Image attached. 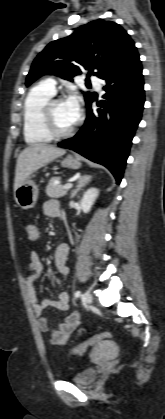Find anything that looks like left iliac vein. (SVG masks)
Returning a JSON list of instances; mask_svg holds the SVG:
<instances>
[{"mask_svg": "<svg viewBox=\"0 0 165 419\" xmlns=\"http://www.w3.org/2000/svg\"><path fill=\"white\" fill-rule=\"evenodd\" d=\"M84 301L86 304H91L93 301L92 294L89 291H86L84 294Z\"/></svg>", "mask_w": 165, "mask_h": 419, "instance_id": "4c4485c4", "label": "left iliac vein"}]
</instances>
